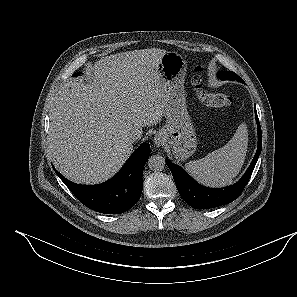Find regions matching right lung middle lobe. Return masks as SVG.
Instances as JSON below:
<instances>
[{
	"mask_svg": "<svg viewBox=\"0 0 297 297\" xmlns=\"http://www.w3.org/2000/svg\"><path fill=\"white\" fill-rule=\"evenodd\" d=\"M78 75V73H75L73 76H77Z\"/></svg>",
	"mask_w": 297,
	"mask_h": 297,
	"instance_id": "1",
	"label": "right lung middle lobe"
}]
</instances>
